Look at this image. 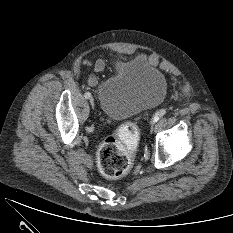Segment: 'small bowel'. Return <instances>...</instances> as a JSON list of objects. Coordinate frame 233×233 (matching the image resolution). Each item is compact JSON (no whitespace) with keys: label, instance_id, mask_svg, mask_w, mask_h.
<instances>
[{"label":"small bowel","instance_id":"obj_1","mask_svg":"<svg viewBox=\"0 0 233 233\" xmlns=\"http://www.w3.org/2000/svg\"><path fill=\"white\" fill-rule=\"evenodd\" d=\"M84 65H92L90 62L88 61H83ZM93 68L96 72H102L105 68V64L103 62V60L99 59L97 60L94 64H93ZM97 82V78L94 75H90L89 77L86 78V83L89 86H94Z\"/></svg>","mask_w":233,"mask_h":233}]
</instances>
